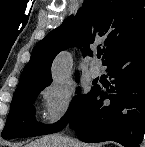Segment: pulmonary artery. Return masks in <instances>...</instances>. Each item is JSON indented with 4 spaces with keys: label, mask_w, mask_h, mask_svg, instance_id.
I'll return each instance as SVG.
<instances>
[{
    "label": "pulmonary artery",
    "mask_w": 145,
    "mask_h": 147,
    "mask_svg": "<svg viewBox=\"0 0 145 147\" xmlns=\"http://www.w3.org/2000/svg\"><path fill=\"white\" fill-rule=\"evenodd\" d=\"M100 68L97 64V60L95 58L92 59V66L89 69V74L92 77H97L100 75Z\"/></svg>",
    "instance_id": "1"
}]
</instances>
